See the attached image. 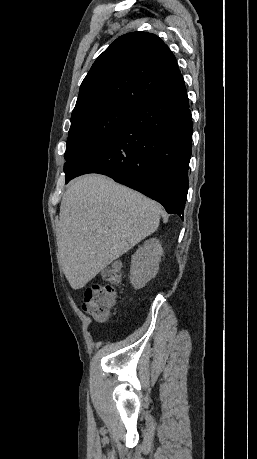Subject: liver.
Masks as SVG:
<instances>
[{"mask_svg":"<svg viewBox=\"0 0 257 459\" xmlns=\"http://www.w3.org/2000/svg\"><path fill=\"white\" fill-rule=\"evenodd\" d=\"M161 208L113 180L90 174L73 182L60 205V265L73 289L154 233Z\"/></svg>","mask_w":257,"mask_h":459,"instance_id":"6515ba94","label":"liver"}]
</instances>
